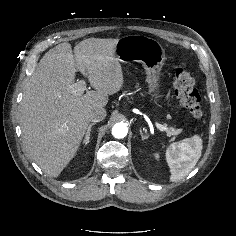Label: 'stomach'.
<instances>
[{
  "instance_id": "1",
  "label": "stomach",
  "mask_w": 236,
  "mask_h": 236,
  "mask_svg": "<svg viewBox=\"0 0 236 236\" xmlns=\"http://www.w3.org/2000/svg\"><path fill=\"white\" fill-rule=\"evenodd\" d=\"M119 62H139L145 69L149 92L154 99L161 97L159 77L166 60L165 50L155 39L143 35H127L116 44Z\"/></svg>"
}]
</instances>
